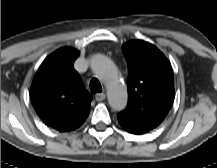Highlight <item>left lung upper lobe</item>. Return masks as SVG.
Here are the masks:
<instances>
[{"label":"left lung upper lobe","instance_id":"5c2ea615","mask_svg":"<svg viewBox=\"0 0 217 168\" xmlns=\"http://www.w3.org/2000/svg\"><path fill=\"white\" fill-rule=\"evenodd\" d=\"M128 64V105L118 121L143 132L157 128L174 101L170 62L154 45L131 40L122 46Z\"/></svg>","mask_w":217,"mask_h":168}]
</instances>
